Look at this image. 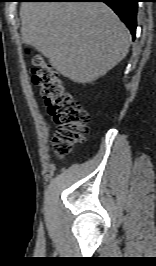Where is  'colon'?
<instances>
[{"mask_svg":"<svg viewBox=\"0 0 156 266\" xmlns=\"http://www.w3.org/2000/svg\"><path fill=\"white\" fill-rule=\"evenodd\" d=\"M32 73L33 82L40 87L48 111L57 125L53 145L56 154L62 157L84 140L89 114L66 91L58 74L42 56L33 57Z\"/></svg>","mask_w":156,"mask_h":266,"instance_id":"obj_1","label":"colon"}]
</instances>
